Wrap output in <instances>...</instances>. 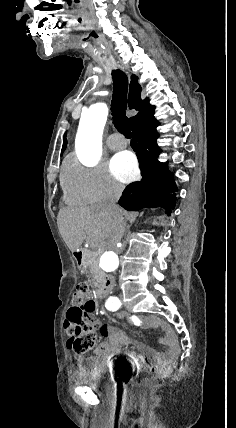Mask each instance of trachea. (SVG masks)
I'll use <instances>...</instances> for the list:
<instances>
[{
    "mask_svg": "<svg viewBox=\"0 0 236 428\" xmlns=\"http://www.w3.org/2000/svg\"><path fill=\"white\" fill-rule=\"evenodd\" d=\"M92 40L97 42L100 40V35L95 33L92 35ZM101 63L107 62L105 52L99 53ZM113 78V95L111 102V111L113 123L117 130L126 138H131L129 121L126 116L127 109V92H128V77L122 70H112Z\"/></svg>",
    "mask_w": 236,
    "mask_h": 428,
    "instance_id": "1",
    "label": "trachea"
}]
</instances>
